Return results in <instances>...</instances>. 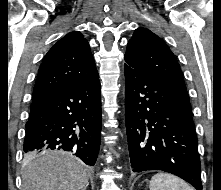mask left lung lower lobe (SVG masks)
I'll return each mask as SVG.
<instances>
[{"instance_id": "0a47b994", "label": "left lung lower lobe", "mask_w": 221, "mask_h": 190, "mask_svg": "<svg viewBox=\"0 0 221 190\" xmlns=\"http://www.w3.org/2000/svg\"><path fill=\"white\" fill-rule=\"evenodd\" d=\"M125 118L133 172L162 170L202 190L189 100L148 72L124 65Z\"/></svg>"}]
</instances>
